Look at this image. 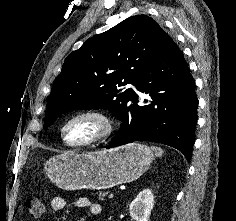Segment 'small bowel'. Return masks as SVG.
<instances>
[{
    "instance_id": "1",
    "label": "small bowel",
    "mask_w": 236,
    "mask_h": 221,
    "mask_svg": "<svg viewBox=\"0 0 236 221\" xmlns=\"http://www.w3.org/2000/svg\"><path fill=\"white\" fill-rule=\"evenodd\" d=\"M66 201L63 197H54L50 201V207L53 211H61L65 208ZM75 206L79 208L89 209L92 215H100L102 212V206L97 202H91L86 197H79L75 200Z\"/></svg>"
}]
</instances>
